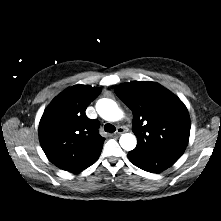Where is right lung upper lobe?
Instances as JSON below:
<instances>
[{"label":"right lung upper lobe","instance_id":"1","mask_svg":"<svg viewBox=\"0 0 221 221\" xmlns=\"http://www.w3.org/2000/svg\"><path fill=\"white\" fill-rule=\"evenodd\" d=\"M101 89L75 85L56 96L39 123V140L47 158L57 167L75 173L92 165L99 157L104 138L99 122L85 110Z\"/></svg>","mask_w":221,"mask_h":221}]
</instances>
